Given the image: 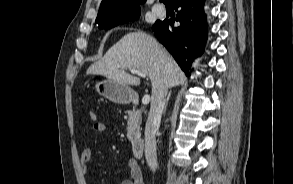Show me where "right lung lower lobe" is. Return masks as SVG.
<instances>
[{
    "mask_svg": "<svg viewBox=\"0 0 293 184\" xmlns=\"http://www.w3.org/2000/svg\"><path fill=\"white\" fill-rule=\"evenodd\" d=\"M204 2L205 0H171L177 11L176 18L156 21L153 26L155 36L187 76L193 59L203 53L207 38ZM175 21L180 22V26H175Z\"/></svg>",
    "mask_w": 293,
    "mask_h": 184,
    "instance_id": "1",
    "label": "right lung lower lobe"
}]
</instances>
